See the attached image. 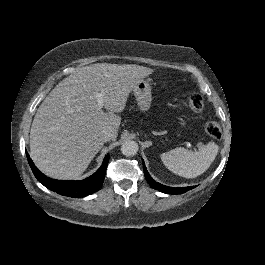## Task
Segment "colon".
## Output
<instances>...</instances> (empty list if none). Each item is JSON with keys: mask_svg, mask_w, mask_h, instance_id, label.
<instances>
[{"mask_svg": "<svg viewBox=\"0 0 265 265\" xmlns=\"http://www.w3.org/2000/svg\"><path fill=\"white\" fill-rule=\"evenodd\" d=\"M189 107L195 112H199L203 108V99L199 94L192 93L188 98ZM204 129L211 137L220 138L221 127L218 121L211 119L204 124Z\"/></svg>", "mask_w": 265, "mask_h": 265, "instance_id": "obj_1", "label": "colon"}]
</instances>
